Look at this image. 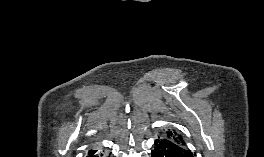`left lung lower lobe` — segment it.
<instances>
[{
  "label": "left lung lower lobe",
  "mask_w": 264,
  "mask_h": 157,
  "mask_svg": "<svg viewBox=\"0 0 264 157\" xmlns=\"http://www.w3.org/2000/svg\"><path fill=\"white\" fill-rule=\"evenodd\" d=\"M151 157H194L185 154V152L174 142L165 138L155 140L154 148L151 151Z\"/></svg>",
  "instance_id": "obj_1"
}]
</instances>
